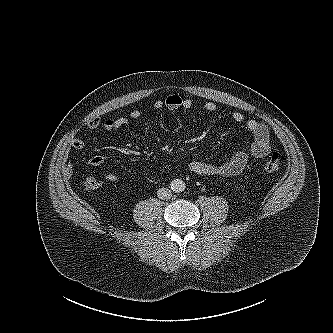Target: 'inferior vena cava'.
I'll use <instances>...</instances> for the list:
<instances>
[{
  "mask_svg": "<svg viewBox=\"0 0 333 333\" xmlns=\"http://www.w3.org/2000/svg\"><path fill=\"white\" fill-rule=\"evenodd\" d=\"M157 196L159 199L161 200H168L171 198L172 196V193H171V190L170 189H167V188H160L158 191H157Z\"/></svg>",
  "mask_w": 333,
  "mask_h": 333,
  "instance_id": "obj_1",
  "label": "inferior vena cava"
}]
</instances>
